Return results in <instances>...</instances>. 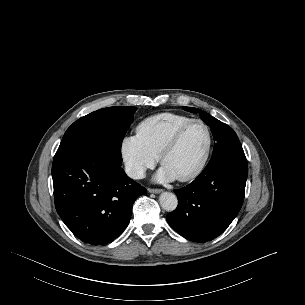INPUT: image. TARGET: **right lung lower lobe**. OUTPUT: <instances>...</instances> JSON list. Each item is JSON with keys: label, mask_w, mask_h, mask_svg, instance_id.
<instances>
[{"label": "right lung lower lobe", "mask_w": 305, "mask_h": 305, "mask_svg": "<svg viewBox=\"0 0 305 305\" xmlns=\"http://www.w3.org/2000/svg\"><path fill=\"white\" fill-rule=\"evenodd\" d=\"M52 178L59 216L76 237L93 245L117 238L129 224L134 201L147 192L100 147L55 154Z\"/></svg>", "instance_id": "right-lung-lower-lobe-1"}]
</instances>
